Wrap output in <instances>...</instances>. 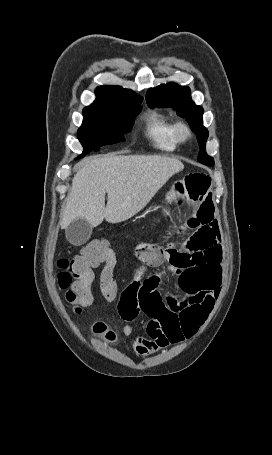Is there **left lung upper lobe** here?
<instances>
[{
    "mask_svg": "<svg viewBox=\"0 0 272 455\" xmlns=\"http://www.w3.org/2000/svg\"><path fill=\"white\" fill-rule=\"evenodd\" d=\"M146 100L150 108L171 107L178 115L186 118L192 131L197 135L200 146L198 161L205 165H214L213 158L209 157L205 150L208 131L203 126V108L192 101L189 87L179 86L173 82L162 84L150 88L147 91Z\"/></svg>",
    "mask_w": 272,
    "mask_h": 455,
    "instance_id": "obj_1",
    "label": "left lung upper lobe"
}]
</instances>
